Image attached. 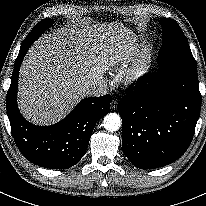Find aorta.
I'll return each mask as SVG.
<instances>
[{
    "label": "aorta",
    "mask_w": 206,
    "mask_h": 206,
    "mask_svg": "<svg viewBox=\"0 0 206 206\" xmlns=\"http://www.w3.org/2000/svg\"><path fill=\"white\" fill-rule=\"evenodd\" d=\"M103 126L110 132L117 131L121 126V118L116 113H109L104 117Z\"/></svg>",
    "instance_id": "aorta-1"
}]
</instances>
